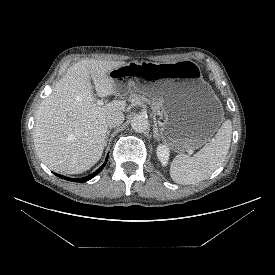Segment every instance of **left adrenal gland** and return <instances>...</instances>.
<instances>
[{"mask_svg": "<svg viewBox=\"0 0 275 275\" xmlns=\"http://www.w3.org/2000/svg\"><path fill=\"white\" fill-rule=\"evenodd\" d=\"M153 122H154V129H153L154 135H153V137H154V139L158 140L159 139V133H158L159 131H158L157 121H156L155 117H153Z\"/></svg>", "mask_w": 275, "mask_h": 275, "instance_id": "1", "label": "left adrenal gland"}]
</instances>
